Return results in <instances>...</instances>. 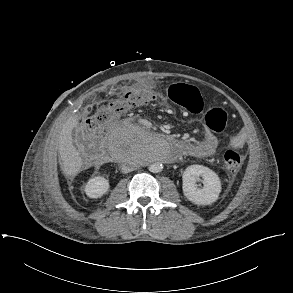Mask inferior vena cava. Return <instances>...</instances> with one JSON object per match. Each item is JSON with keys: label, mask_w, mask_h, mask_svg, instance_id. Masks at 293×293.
I'll list each match as a JSON object with an SVG mask.
<instances>
[{"label": "inferior vena cava", "mask_w": 293, "mask_h": 293, "mask_svg": "<svg viewBox=\"0 0 293 293\" xmlns=\"http://www.w3.org/2000/svg\"><path fill=\"white\" fill-rule=\"evenodd\" d=\"M133 170H134L133 165H129V164L123 165L122 168H121L122 173H129V172H131Z\"/></svg>", "instance_id": "inferior-vena-cava-1"}]
</instances>
